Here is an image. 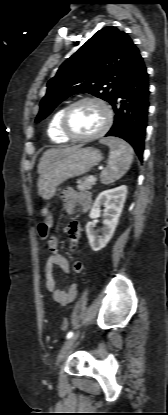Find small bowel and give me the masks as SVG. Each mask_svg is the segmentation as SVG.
Here are the masks:
<instances>
[{
  "label": "small bowel",
  "mask_w": 168,
  "mask_h": 415,
  "mask_svg": "<svg viewBox=\"0 0 168 415\" xmlns=\"http://www.w3.org/2000/svg\"><path fill=\"white\" fill-rule=\"evenodd\" d=\"M61 200L63 202L64 210L66 211V213H71L76 208H79L83 212H86L89 210L91 206V197L87 192L76 191L69 187L62 190ZM66 229L70 235L73 245L77 246L81 237L80 225L76 221H71L67 225ZM48 249L50 251V256L47 258L44 264L46 288L52 294V297L56 303L62 306H66L75 299L78 292V285L72 284L67 290H61L57 287L53 273L54 267H58L63 272L69 273L70 265L68 260L60 254L59 243L56 237H49ZM74 270L79 273L84 272L85 264L80 261L75 262Z\"/></svg>",
  "instance_id": "c3829d8e"
}]
</instances>
